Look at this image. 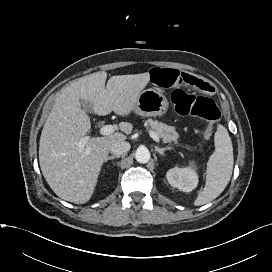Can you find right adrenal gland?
<instances>
[{
  "instance_id": "1",
  "label": "right adrenal gland",
  "mask_w": 272,
  "mask_h": 272,
  "mask_svg": "<svg viewBox=\"0 0 272 272\" xmlns=\"http://www.w3.org/2000/svg\"><path fill=\"white\" fill-rule=\"evenodd\" d=\"M120 156H117V155H112V156H109L105 159V162L109 161V160H113V159H116V158H119Z\"/></svg>"
}]
</instances>
